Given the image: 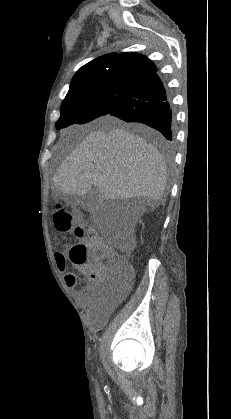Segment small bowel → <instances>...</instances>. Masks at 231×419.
Listing matches in <instances>:
<instances>
[{
	"label": "small bowel",
	"instance_id": "1",
	"mask_svg": "<svg viewBox=\"0 0 231 419\" xmlns=\"http://www.w3.org/2000/svg\"><path fill=\"white\" fill-rule=\"evenodd\" d=\"M56 262H57V265H58L59 269L65 272L64 282H65L66 286L69 287V288L75 287L77 282H78V278L75 274H73L71 272H66V268H67L66 261L62 260V259H59V260L56 259ZM81 270L83 272H87L86 267L81 268ZM90 293H91V289L89 287H86V288L79 291L80 301H81L82 304L87 305L89 303Z\"/></svg>",
	"mask_w": 231,
	"mask_h": 419
}]
</instances>
